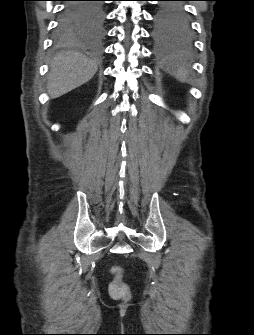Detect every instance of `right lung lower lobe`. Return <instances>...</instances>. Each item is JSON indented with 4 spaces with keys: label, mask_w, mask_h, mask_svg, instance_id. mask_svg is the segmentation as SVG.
Listing matches in <instances>:
<instances>
[{
    "label": "right lung lower lobe",
    "mask_w": 254,
    "mask_h": 335,
    "mask_svg": "<svg viewBox=\"0 0 254 335\" xmlns=\"http://www.w3.org/2000/svg\"><path fill=\"white\" fill-rule=\"evenodd\" d=\"M91 2L98 0H68L65 9L59 19L58 29H65L75 22V17H79V28L87 31L98 21V10L93 8Z\"/></svg>",
    "instance_id": "obj_1"
}]
</instances>
